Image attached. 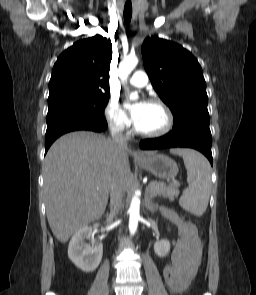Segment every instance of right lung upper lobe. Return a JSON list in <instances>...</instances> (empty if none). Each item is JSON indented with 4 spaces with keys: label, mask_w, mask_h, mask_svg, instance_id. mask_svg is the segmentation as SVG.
<instances>
[{
    "label": "right lung upper lobe",
    "mask_w": 256,
    "mask_h": 295,
    "mask_svg": "<svg viewBox=\"0 0 256 295\" xmlns=\"http://www.w3.org/2000/svg\"><path fill=\"white\" fill-rule=\"evenodd\" d=\"M111 59V41L100 35L76 42L53 67L48 101L66 95H109Z\"/></svg>",
    "instance_id": "obj_1"
}]
</instances>
